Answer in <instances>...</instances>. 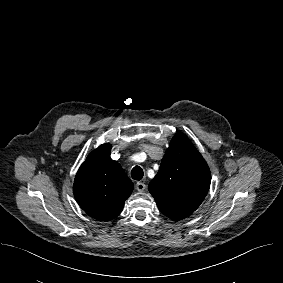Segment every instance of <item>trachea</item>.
Returning a JSON list of instances; mask_svg holds the SVG:
<instances>
[{"label":"trachea","instance_id":"1","mask_svg":"<svg viewBox=\"0 0 283 283\" xmlns=\"http://www.w3.org/2000/svg\"><path fill=\"white\" fill-rule=\"evenodd\" d=\"M144 172L141 167L135 166L131 171V176L134 180H141L143 178Z\"/></svg>","mask_w":283,"mask_h":283}]
</instances>
